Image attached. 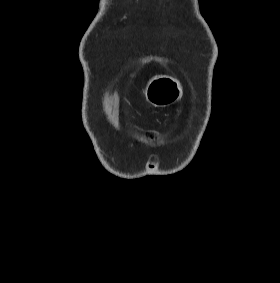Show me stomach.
Wrapping results in <instances>:
<instances>
[{"instance_id": "stomach-1", "label": "stomach", "mask_w": 280, "mask_h": 283, "mask_svg": "<svg viewBox=\"0 0 280 283\" xmlns=\"http://www.w3.org/2000/svg\"><path fill=\"white\" fill-rule=\"evenodd\" d=\"M144 96L146 101L153 106L166 107L181 98L182 85L171 76L155 75L147 82Z\"/></svg>"}]
</instances>
